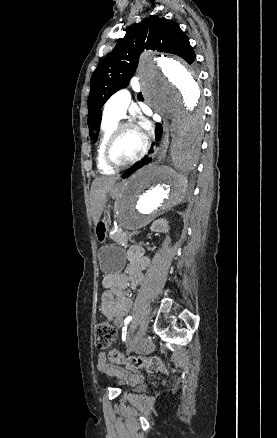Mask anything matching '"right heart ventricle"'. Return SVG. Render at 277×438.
Masks as SVG:
<instances>
[{"mask_svg": "<svg viewBox=\"0 0 277 438\" xmlns=\"http://www.w3.org/2000/svg\"><path fill=\"white\" fill-rule=\"evenodd\" d=\"M117 122H118L117 120H111V119L104 118L102 125H101L100 139H99V144H98V148H97V166H98L99 171L103 174H112L114 172V170L105 163L104 157H103V152H104V147L106 145V142H107L111 132L113 131V129L117 125Z\"/></svg>", "mask_w": 277, "mask_h": 438, "instance_id": "e07e8e85", "label": "right heart ventricle"}]
</instances>
